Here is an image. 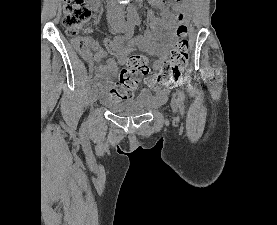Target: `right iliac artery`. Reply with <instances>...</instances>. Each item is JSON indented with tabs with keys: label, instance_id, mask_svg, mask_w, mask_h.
Masks as SVG:
<instances>
[{
	"label": "right iliac artery",
	"instance_id": "1",
	"mask_svg": "<svg viewBox=\"0 0 277 225\" xmlns=\"http://www.w3.org/2000/svg\"><path fill=\"white\" fill-rule=\"evenodd\" d=\"M135 25H136V23H135L133 20H132V21H129V22L127 23L126 32H125V35H124V37H125L126 39H130V38L133 36ZM117 37H121V35H119V36H117ZM90 88H91L92 90H94V89L96 88V83H95V82L92 83L91 86H90Z\"/></svg>",
	"mask_w": 277,
	"mask_h": 225
}]
</instances>
